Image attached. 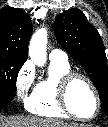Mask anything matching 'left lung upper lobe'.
<instances>
[{
	"label": "left lung upper lobe",
	"mask_w": 108,
	"mask_h": 127,
	"mask_svg": "<svg viewBox=\"0 0 108 127\" xmlns=\"http://www.w3.org/2000/svg\"><path fill=\"white\" fill-rule=\"evenodd\" d=\"M54 29L59 44L85 69L108 117V67L102 39L79 9L59 13Z\"/></svg>",
	"instance_id": "obj_1"
}]
</instances>
